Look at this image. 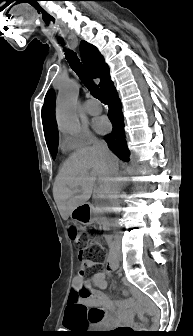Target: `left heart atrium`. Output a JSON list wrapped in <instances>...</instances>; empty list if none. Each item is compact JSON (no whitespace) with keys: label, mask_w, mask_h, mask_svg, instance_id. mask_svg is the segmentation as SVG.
<instances>
[{"label":"left heart atrium","mask_w":193,"mask_h":336,"mask_svg":"<svg viewBox=\"0 0 193 336\" xmlns=\"http://www.w3.org/2000/svg\"><path fill=\"white\" fill-rule=\"evenodd\" d=\"M94 128L100 133H105L109 130L110 123L107 118L100 117L94 121Z\"/></svg>","instance_id":"obj_1"}]
</instances>
